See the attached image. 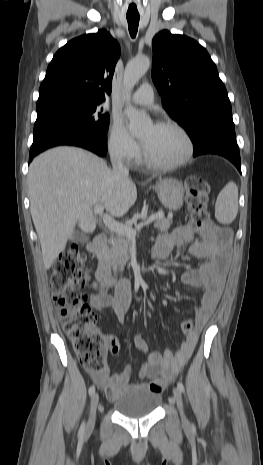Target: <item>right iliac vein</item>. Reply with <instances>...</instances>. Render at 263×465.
Listing matches in <instances>:
<instances>
[{
	"mask_svg": "<svg viewBox=\"0 0 263 465\" xmlns=\"http://www.w3.org/2000/svg\"><path fill=\"white\" fill-rule=\"evenodd\" d=\"M99 403V395L98 393H94L91 398V406H90V416L87 424V430H91L94 427L95 423V416L96 411Z\"/></svg>",
	"mask_w": 263,
	"mask_h": 465,
	"instance_id": "63e3f726",
	"label": "right iliac vein"
}]
</instances>
